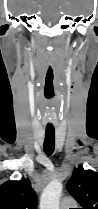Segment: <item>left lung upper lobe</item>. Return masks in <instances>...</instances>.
<instances>
[{"mask_svg": "<svg viewBox=\"0 0 98 209\" xmlns=\"http://www.w3.org/2000/svg\"><path fill=\"white\" fill-rule=\"evenodd\" d=\"M66 188L82 209H98V173L78 167Z\"/></svg>", "mask_w": 98, "mask_h": 209, "instance_id": "left-lung-upper-lobe-1", "label": "left lung upper lobe"}]
</instances>
